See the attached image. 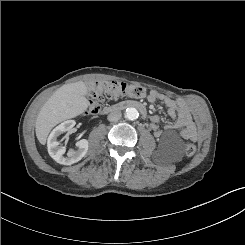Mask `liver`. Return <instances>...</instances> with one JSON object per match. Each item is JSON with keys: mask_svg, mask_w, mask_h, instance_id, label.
Instances as JSON below:
<instances>
[{"mask_svg": "<svg viewBox=\"0 0 245 245\" xmlns=\"http://www.w3.org/2000/svg\"><path fill=\"white\" fill-rule=\"evenodd\" d=\"M87 93L86 84L78 81L63 85L45 102L35 124L36 137L42 145L54 126L86 111L89 105Z\"/></svg>", "mask_w": 245, "mask_h": 245, "instance_id": "obj_1", "label": "liver"}]
</instances>
